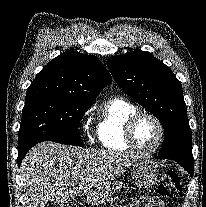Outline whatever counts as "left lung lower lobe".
<instances>
[{
	"instance_id": "1",
	"label": "left lung lower lobe",
	"mask_w": 206,
	"mask_h": 207,
	"mask_svg": "<svg viewBox=\"0 0 206 207\" xmlns=\"http://www.w3.org/2000/svg\"><path fill=\"white\" fill-rule=\"evenodd\" d=\"M181 166H183L190 174L193 176V165L185 162H178Z\"/></svg>"
}]
</instances>
